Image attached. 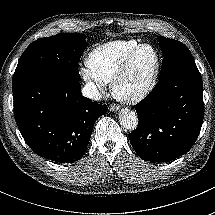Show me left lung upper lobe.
I'll list each match as a JSON object with an SVG mask.
<instances>
[{
    "mask_svg": "<svg viewBox=\"0 0 215 215\" xmlns=\"http://www.w3.org/2000/svg\"><path fill=\"white\" fill-rule=\"evenodd\" d=\"M158 40L164 56L161 79L185 67L196 65L183 43L165 37H159Z\"/></svg>",
    "mask_w": 215,
    "mask_h": 215,
    "instance_id": "1",
    "label": "left lung upper lobe"
}]
</instances>
